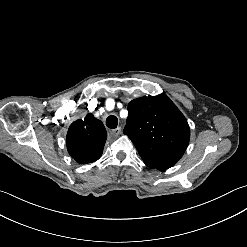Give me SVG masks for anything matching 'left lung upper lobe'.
<instances>
[{
    "instance_id": "1",
    "label": "left lung upper lobe",
    "mask_w": 247,
    "mask_h": 247,
    "mask_svg": "<svg viewBox=\"0 0 247 247\" xmlns=\"http://www.w3.org/2000/svg\"><path fill=\"white\" fill-rule=\"evenodd\" d=\"M144 163L166 171L184 154L190 138L186 118L164 94L134 99L123 130Z\"/></svg>"
}]
</instances>
